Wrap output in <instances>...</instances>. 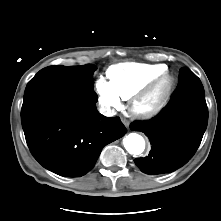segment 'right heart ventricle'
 Here are the masks:
<instances>
[{
    "label": "right heart ventricle",
    "mask_w": 221,
    "mask_h": 221,
    "mask_svg": "<svg viewBox=\"0 0 221 221\" xmlns=\"http://www.w3.org/2000/svg\"><path fill=\"white\" fill-rule=\"evenodd\" d=\"M165 71L164 64L123 63L111 66L106 74L117 95L128 100Z\"/></svg>",
    "instance_id": "right-heart-ventricle-1"
}]
</instances>
